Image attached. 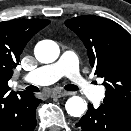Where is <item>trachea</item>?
<instances>
[{"label": "trachea", "instance_id": "3493384b", "mask_svg": "<svg viewBox=\"0 0 131 131\" xmlns=\"http://www.w3.org/2000/svg\"><path fill=\"white\" fill-rule=\"evenodd\" d=\"M64 89H66V90H68V91H77L78 90V87L77 86H75V85H72V84H69V85H66L65 87H64ZM27 90H29V91H32V92H38L39 91V89L36 87V86H28L27 87Z\"/></svg>", "mask_w": 131, "mask_h": 131}]
</instances>
